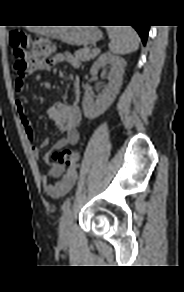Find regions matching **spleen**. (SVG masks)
<instances>
[{
    "mask_svg": "<svg viewBox=\"0 0 184 292\" xmlns=\"http://www.w3.org/2000/svg\"><path fill=\"white\" fill-rule=\"evenodd\" d=\"M109 48L115 55H126L139 48V36L132 27H108Z\"/></svg>",
    "mask_w": 184,
    "mask_h": 292,
    "instance_id": "obj_1",
    "label": "spleen"
}]
</instances>
